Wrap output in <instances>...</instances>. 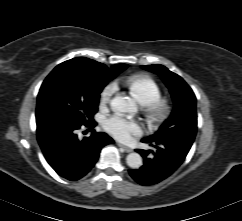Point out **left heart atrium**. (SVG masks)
Returning a JSON list of instances; mask_svg holds the SVG:
<instances>
[{
  "label": "left heart atrium",
  "mask_w": 242,
  "mask_h": 221,
  "mask_svg": "<svg viewBox=\"0 0 242 221\" xmlns=\"http://www.w3.org/2000/svg\"><path fill=\"white\" fill-rule=\"evenodd\" d=\"M105 130L121 141H129L133 135H140L141 125L120 115H113L104 120Z\"/></svg>",
  "instance_id": "left-heart-atrium-1"
}]
</instances>
